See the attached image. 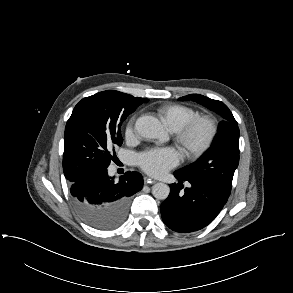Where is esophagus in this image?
Returning a JSON list of instances; mask_svg holds the SVG:
<instances>
[{"label":"esophagus","mask_w":293,"mask_h":293,"mask_svg":"<svg viewBox=\"0 0 293 293\" xmlns=\"http://www.w3.org/2000/svg\"><path fill=\"white\" fill-rule=\"evenodd\" d=\"M156 182V180H154L153 178H150V177H145V183L147 184V183H155Z\"/></svg>","instance_id":"obj_1"}]
</instances>
